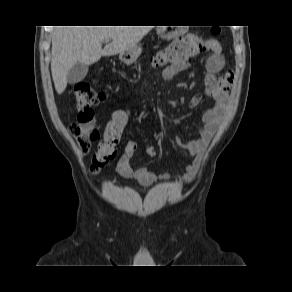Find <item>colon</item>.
Wrapping results in <instances>:
<instances>
[{
	"mask_svg": "<svg viewBox=\"0 0 292 292\" xmlns=\"http://www.w3.org/2000/svg\"><path fill=\"white\" fill-rule=\"evenodd\" d=\"M218 32V28L212 29L213 34ZM209 49L208 43L202 37L190 35L171 43L153 58L152 63L157 67L170 66ZM74 95L78 116L69 131L82 153H87L92 143L99 140L98 148L91 161V170L97 173L116 156L117 146L128 120V113L125 110L115 112L104 130H101L97 126L93 107L104 100V93L95 90L87 82H80L74 88ZM146 154L150 159H156L159 151L155 146L149 145Z\"/></svg>",
	"mask_w": 292,
	"mask_h": 292,
	"instance_id": "1",
	"label": "colon"
}]
</instances>
